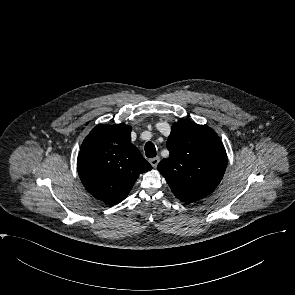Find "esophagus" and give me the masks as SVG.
Segmentation results:
<instances>
[{
  "label": "esophagus",
  "instance_id": "esophagus-1",
  "mask_svg": "<svg viewBox=\"0 0 295 295\" xmlns=\"http://www.w3.org/2000/svg\"><path fill=\"white\" fill-rule=\"evenodd\" d=\"M159 161H160V157H158V156H157V157H154V158H151V159L149 160L150 164H151L152 167H154V168L157 167Z\"/></svg>",
  "mask_w": 295,
  "mask_h": 295
}]
</instances>
